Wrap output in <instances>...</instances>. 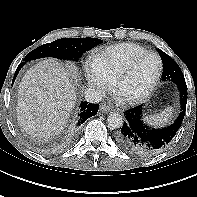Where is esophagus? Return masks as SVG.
Instances as JSON below:
<instances>
[{"instance_id":"esophagus-1","label":"esophagus","mask_w":197,"mask_h":197,"mask_svg":"<svg viewBox=\"0 0 197 197\" xmlns=\"http://www.w3.org/2000/svg\"><path fill=\"white\" fill-rule=\"evenodd\" d=\"M100 110H101L102 113L107 114V113L113 111L114 109L111 105L102 104L101 107H100Z\"/></svg>"}]
</instances>
